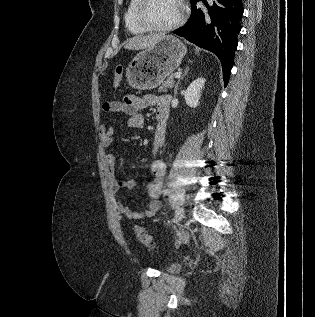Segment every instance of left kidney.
Listing matches in <instances>:
<instances>
[{"label": "left kidney", "mask_w": 315, "mask_h": 317, "mask_svg": "<svg viewBox=\"0 0 315 317\" xmlns=\"http://www.w3.org/2000/svg\"><path fill=\"white\" fill-rule=\"evenodd\" d=\"M205 79L198 78L194 80L185 92V101L189 107H197L199 104L202 89L204 88Z\"/></svg>", "instance_id": "obj_1"}]
</instances>
